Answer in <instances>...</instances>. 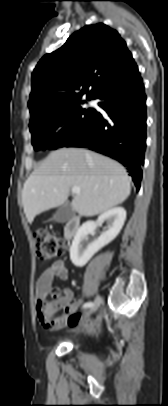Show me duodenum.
Instances as JSON below:
<instances>
[{"label": "duodenum", "mask_w": 168, "mask_h": 406, "mask_svg": "<svg viewBox=\"0 0 168 406\" xmlns=\"http://www.w3.org/2000/svg\"><path fill=\"white\" fill-rule=\"evenodd\" d=\"M81 223V217L79 215H73L67 221L64 228V237L67 241L71 240L77 232Z\"/></svg>", "instance_id": "410a0bca"}]
</instances>
